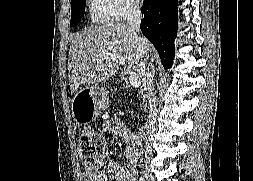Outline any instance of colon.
<instances>
[{
	"instance_id": "1",
	"label": "colon",
	"mask_w": 253,
	"mask_h": 181,
	"mask_svg": "<svg viewBox=\"0 0 253 181\" xmlns=\"http://www.w3.org/2000/svg\"><path fill=\"white\" fill-rule=\"evenodd\" d=\"M79 154L85 170H97L106 155V146L100 135L93 131L83 133L79 140Z\"/></svg>"
}]
</instances>
